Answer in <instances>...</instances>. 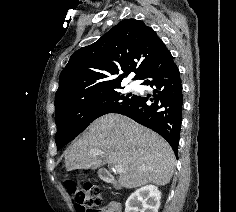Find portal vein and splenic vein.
Returning <instances> with one entry per match:
<instances>
[{
	"instance_id": "1",
	"label": "portal vein and splenic vein",
	"mask_w": 236,
	"mask_h": 212,
	"mask_svg": "<svg viewBox=\"0 0 236 212\" xmlns=\"http://www.w3.org/2000/svg\"><path fill=\"white\" fill-rule=\"evenodd\" d=\"M91 154L103 155L104 153L102 151H99V150H93V151H91ZM115 171L118 172V173H121V172H123V167L121 165H116L115 166Z\"/></svg>"
}]
</instances>
